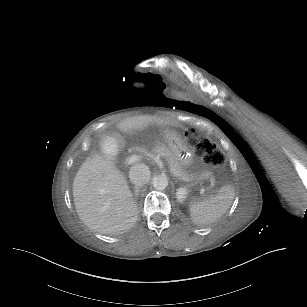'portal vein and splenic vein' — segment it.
Listing matches in <instances>:
<instances>
[{
	"mask_svg": "<svg viewBox=\"0 0 307 307\" xmlns=\"http://www.w3.org/2000/svg\"><path fill=\"white\" fill-rule=\"evenodd\" d=\"M138 161H139V155L137 153L132 154L131 156L127 157V159H126V162L129 165L136 164V163H138ZM202 185L203 184L200 182L197 186L199 187L198 190L203 195L205 192L202 189Z\"/></svg>",
	"mask_w": 307,
	"mask_h": 307,
	"instance_id": "obj_1",
	"label": "portal vein and splenic vein"
}]
</instances>
